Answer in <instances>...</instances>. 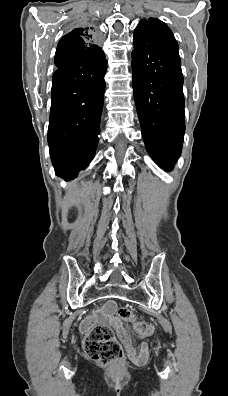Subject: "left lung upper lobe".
Listing matches in <instances>:
<instances>
[{"label":"left lung upper lobe","instance_id":"left-lung-upper-lobe-1","mask_svg":"<svg viewBox=\"0 0 228 396\" xmlns=\"http://www.w3.org/2000/svg\"><path fill=\"white\" fill-rule=\"evenodd\" d=\"M154 31L164 32L167 36L174 38L168 26L164 22L156 18H149V20L146 19L141 20L140 23L135 28L134 36L143 37L152 34Z\"/></svg>","mask_w":228,"mask_h":396}]
</instances>
